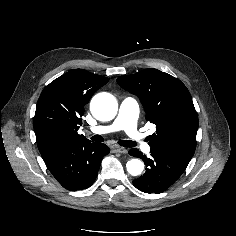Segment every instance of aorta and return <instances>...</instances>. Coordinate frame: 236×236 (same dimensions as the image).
Here are the masks:
<instances>
[{
  "instance_id": "obj_1",
  "label": "aorta",
  "mask_w": 236,
  "mask_h": 236,
  "mask_svg": "<svg viewBox=\"0 0 236 236\" xmlns=\"http://www.w3.org/2000/svg\"><path fill=\"white\" fill-rule=\"evenodd\" d=\"M90 109L96 119L109 121L116 116L118 104L113 95L99 93L91 100ZM126 167L129 174L137 176L143 172L144 163L139 159H131L127 162Z\"/></svg>"
}]
</instances>
